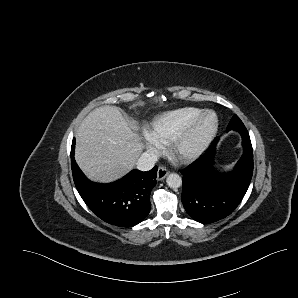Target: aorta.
Here are the masks:
<instances>
[{
	"instance_id": "aorta-1",
	"label": "aorta",
	"mask_w": 298,
	"mask_h": 298,
	"mask_svg": "<svg viewBox=\"0 0 298 298\" xmlns=\"http://www.w3.org/2000/svg\"><path fill=\"white\" fill-rule=\"evenodd\" d=\"M166 184L172 189L179 188L182 186V177L178 173H169L166 177Z\"/></svg>"
}]
</instances>
